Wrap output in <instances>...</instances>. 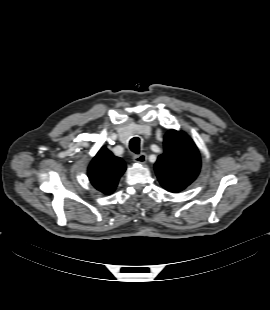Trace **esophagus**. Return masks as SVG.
<instances>
[{
    "instance_id": "obj_1",
    "label": "esophagus",
    "mask_w": 270,
    "mask_h": 310,
    "mask_svg": "<svg viewBox=\"0 0 270 310\" xmlns=\"http://www.w3.org/2000/svg\"><path fill=\"white\" fill-rule=\"evenodd\" d=\"M133 160L136 163L144 164L147 161V155L145 153H141V154L135 155L133 157Z\"/></svg>"
}]
</instances>
